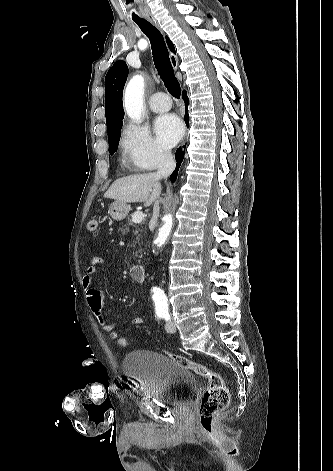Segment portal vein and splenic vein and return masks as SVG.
Returning a JSON list of instances; mask_svg holds the SVG:
<instances>
[{"label": "portal vein and splenic vein", "mask_w": 333, "mask_h": 471, "mask_svg": "<svg viewBox=\"0 0 333 471\" xmlns=\"http://www.w3.org/2000/svg\"><path fill=\"white\" fill-rule=\"evenodd\" d=\"M143 218H144V214H143V212H141V211H137V212H135V213L132 215V221H133L134 223H140V222H142Z\"/></svg>", "instance_id": "1"}]
</instances>
